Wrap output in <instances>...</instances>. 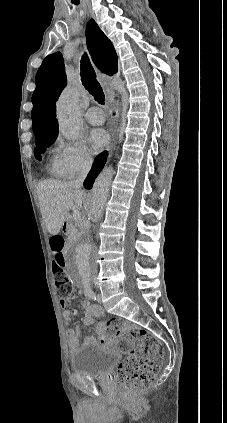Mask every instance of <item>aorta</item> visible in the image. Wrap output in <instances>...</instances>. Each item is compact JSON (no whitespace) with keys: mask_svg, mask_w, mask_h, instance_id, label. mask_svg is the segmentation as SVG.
<instances>
[{"mask_svg":"<svg viewBox=\"0 0 227 423\" xmlns=\"http://www.w3.org/2000/svg\"><path fill=\"white\" fill-rule=\"evenodd\" d=\"M78 100L77 89L67 87L56 103L59 130L65 138L72 141L78 139L81 129ZM113 172L111 166L105 167L95 180L90 209L93 222H97L102 216ZM97 260L96 248L89 240L71 244L65 254V267L69 279L82 287L89 286L97 272Z\"/></svg>","mask_w":227,"mask_h":423,"instance_id":"762f6f07","label":"aorta"}]
</instances>
